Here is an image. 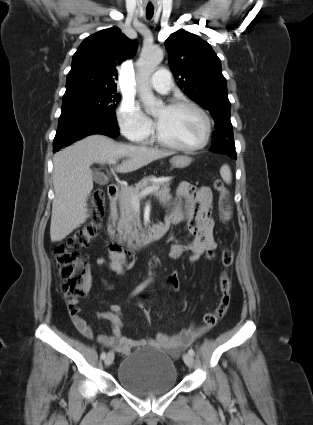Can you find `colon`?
I'll return each mask as SVG.
<instances>
[{
    "label": "colon",
    "instance_id": "obj_1",
    "mask_svg": "<svg viewBox=\"0 0 313 425\" xmlns=\"http://www.w3.org/2000/svg\"><path fill=\"white\" fill-rule=\"evenodd\" d=\"M214 187L219 194V208L224 211L228 204L229 192L220 179H216ZM92 202L94 206V215L81 228L71 233L62 243L54 248V257L56 266L61 277L62 291L68 298V306L76 307L77 299L86 292V284L89 279L88 261L81 256L80 251L98 236L101 228L103 216L104 193L97 188L92 193ZM214 249L210 248L206 252V258L213 260L215 258ZM233 252L229 248H224L221 254V264L223 270L219 275L220 300L217 307L204 316V324L208 328L214 327L225 315L231 301L232 282L228 275V268L233 262ZM167 286L174 292L182 287V278L177 274H171L167 279ZM144 314L147 320L150 316V308L143 306Z\"/></svg>",
    "mask_w": 313,
    "mask_h": 425
}]
</instances>
